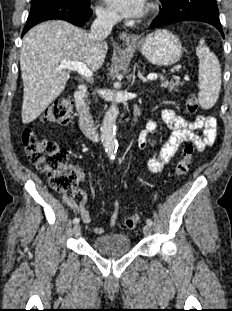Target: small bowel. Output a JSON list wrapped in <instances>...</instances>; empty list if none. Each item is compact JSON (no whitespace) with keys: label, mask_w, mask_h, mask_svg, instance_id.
Here are the masks:
<instances>
[{"label":"small bowel","mask_w":232,"mask_h":311,"mask_svg":"<svg viewBox=\"0 0 232 311\" xmlns=\"http://www.w3.org/2000/svg\"><path fill=\"white\" fill-rule=\"evenodd\" d=\"M161 120L172 130V133L163 147L159 151L153 152L148 161V169L153 174L164 171L167 164L183 142L194 141L199 151H203L215 142L217 122L213 117L197 116L193 119H189L177 115L171 109H163L161 111ZM198 129H202L203 137H199L195 133ZM157 131V123L152 118H149L146 122L145 128L138 134L137 142L139 146L144 150H149L148 137L151 134H155ZM78 177L80 181L84 180V174L81 171L78 172ZM63 200L76 214L81 216L85 224L91 222L92 217L87 209V203L84 199H82L79 204L73 197L64 196ZM118 207L119 206L116 203L110 217L111 225L116 222ZM94 233L98 235L103 234L104 229L102 227H96Z\"/></svg>","instance_id":"c3829d8e"}]
</instances>
